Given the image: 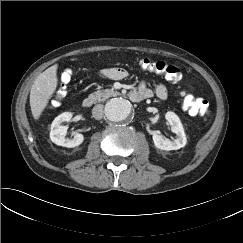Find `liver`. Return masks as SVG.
I'll return each instance as SVG.
<instances>
[{"instance_id":"1","label":"liver","mask_w":243,"mask_h":243,"mask_svg":"<svg viewBox=\"0 0 243 243\" xmlns=\"http://www.w3.org/2000/svg\"><path fill=\"white\" fill-rule=\"evenodd\" d=\"M57 68L55 64L38 75L30 91V107L32 116L38 120L53 96L57 85Z\"/></svg>"}]
</instances>
